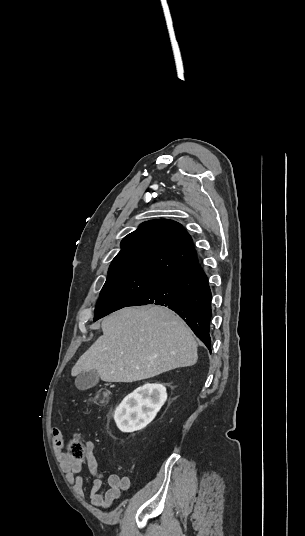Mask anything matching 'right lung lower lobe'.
<instances>
[{"instance_id": "1", "label": "right lung lower lobe", "mask_w": 305, "mask_h": 536, "mask_svg": "<svg viewBox=\"0 0 305 536\" xmlns=\"http://www.w3.org/2000/svg\"><path fill=\"white\" fill-rule=\"evenodd\" d=\"M159 304L175 311L211 350V291L197 262L176 271L128 306Z\"/></svg>"}]
</instances>
